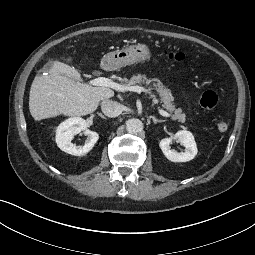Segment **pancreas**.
Segmentation results:
<instances>
[{
    "label": "pancreas",
    "instance_id": "pancreas-1",
    "mask_svg": "<svg viewBox=\"0 0 255 255\" xmlns=\"http://www.w3.org/2000/svg\"><path fill=\"white\" fill-rule=\"evenodd\" d=\"M150 83H152V88L149 89H154L157 91L160 97V101L162 103V107L170 111L171 113L174 112V114L171 115L172 119L184 122L185 114L182 113L181 109H175V106L173 105L174 98L171 94L170 89L163 85V83L159 79H148L146 75L137 74L132 76L131 79L126 82V86L135 87L142 84L148 86Z\"/></svg>",
    "mask_w": 255,
    "mask_h": 255
}]
</instances>
